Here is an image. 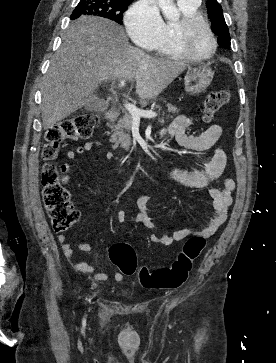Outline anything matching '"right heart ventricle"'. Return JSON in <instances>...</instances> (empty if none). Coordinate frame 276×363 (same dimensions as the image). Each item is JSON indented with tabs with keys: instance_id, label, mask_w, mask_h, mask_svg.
I'll return each mask as SVG.
<instances>
[{
	"instance_id": "right-heart-ventricle-1",
	"label": "right heart ventricle",
	"mask_w": 276,
	"mask_h": 363,
	"mask_svg": "<svg viewBox=\"0 0 276 363\" xmlns=\"http://www.w3.org/2000/svg\"><path fill=\"white\" fill-rule=\"evenodd\" d=\"M179 9L183 16H189L199 13V3L185 4L178 2ZM175 21H167L164 23L162 33L158 40L150 47L157 54L173 59H186L182 52L178 49L174 39Z\"/></svg>"
}]
</instances>
